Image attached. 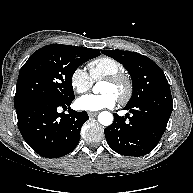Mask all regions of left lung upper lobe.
Masks as SVG:
<instances>
[{
    "mask_svg": "<svg viewBox=\"0 0 193 193\" xmlns=\"http://www.w3.org/2000/svg\"><path fill=\"white\" fill-rule=\"evenodd\" d=\"M103 54L120 62L129 72L133 93L127 106H134L151 94L169 86L161 68L150 58L136 52L102 50Z\"/></svg>",
    "mask_w": 193,
    "mask_h": 193,
    "instance_id": "obj_1",
    "label": "left lung upper lobe"
}]
</instances>
